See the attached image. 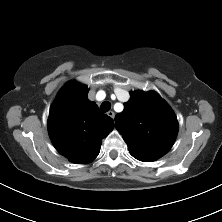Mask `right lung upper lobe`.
<instances>
[{
	"mask_svg": "<svg viewBox=\"0 0 222 222\" xmlns=\"http://www.w3.org/2000/svg\"><path fill=\"white\" fill-rule=\"evenodd\" d=\"M114 128L113 119L88 99V89L67 82L52 104L48 132L55 148L71 162L86 164L100 152L102 139Z\"/></svg>",
	"mask_w": 222,
	"mask_h": 222,
	"instance_id": "obj_1",
	"label": "right lung upper lobe"
}]
</instances>
